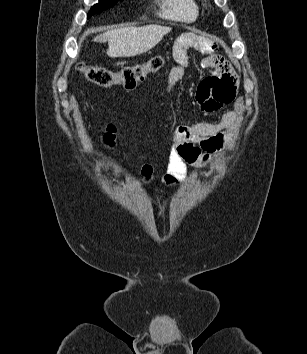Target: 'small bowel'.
<instances>
[{
  "mask_svg": "<svg viewBox=\"0 0 307 354\" xmlns=\"http://www.w3.org/2000/svg\"><path fill=\"white\" fill-rule=\"evenodd\" d=\"M194 48L206 54L202 63L213 70L212 75L204 78L197 87L196 100L204 112L212 113L231 103L236 93V79L227 60L215 51L212 40L207 38L186 37L175 46L177 65L172 67L166 86V92L172 93L177 84L185 77L189 65L188 51ZM169 99V97H167ZM237 117L236 111L225 113L218 122L176 123L171 113L168 119L173 122L172 146L169 153L167 172L163 183L176 186L185 175V164L209 165L215 155L228 143L226 132ZM116 128L108 125L105 141L112 145ZM153 168L145 164L141 167L144 180L151 179Z\"/></svg>",
  "mask_w": 307,
  "mask_h": 354,
  "instance_id": "1",
  "label": "small bowel"
}]
</instances>
